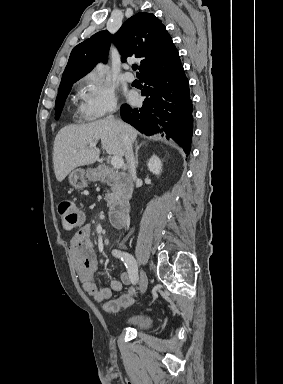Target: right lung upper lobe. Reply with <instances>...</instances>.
I'll return each instance as SVG.
<instances>
[{
    "instance_id": "cb5924a9",
    "label": "right lung upper lobe",
    "mask_w": 283,
    "mask_h": 384,
    "mask_svg": "<svg viewBox=\"0 0 283 384\" xmlns=\"http://www.w3.org/2000/svg\"><path fill=\"white\" fill-rule=\"evenodd\" d=\"M122 55L141 60L138 78L168 71L181 63L180 57L165 25L154 14L140 12L128 19L119 31L110 35L100 31L75 46L63 72L61 84L75 83L89 73L97 62H106L111 41Z\"/></svg>"
}]
</instances>
